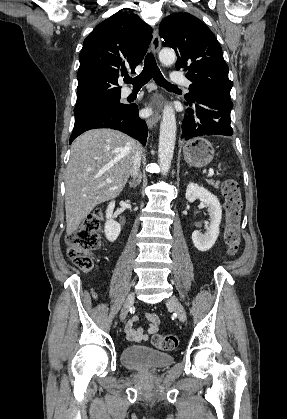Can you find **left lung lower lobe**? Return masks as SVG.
<instances>
[{
  "instance_id": "0a47b994",
  "label": "left lung lower lobe",
  "mask_w": 287,
  "mask_h": 419,
  "mask_svg": "<svg viewBox=\"0 0 287 419\" xmlns=\"http://www.w3.org/2000/svg\"><path fill=\"white\" fill-rule=\"evenodd\" d=\"M186 104L188 108L182 123L181 135L184 141L195 137L234 134L230 125V112L233 107L230 96L202 93Z\"/></svg>"
}]
</instances>
